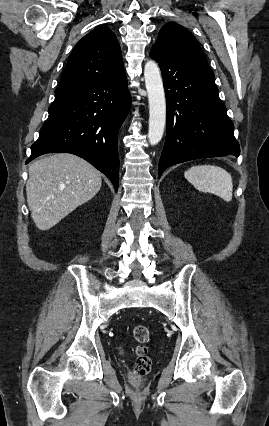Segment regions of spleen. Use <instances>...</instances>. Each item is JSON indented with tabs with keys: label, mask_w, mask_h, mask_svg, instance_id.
<instances>
[{
	"label": "spleen",
	"mask_w": 269,
	"mask_h": 426,
	"mask_svg": "<svg viewBox=\"0 0 269 426\" xmlns=\"http://www.w3.org/2000/svg\"><path fill=\"white\" fill-rule=\"evenodd\" d=\"M184 176L199 191L212 193L226 202L232 200V177L225 169L214 165H198L185 171Z\"/></svg>",
	"instance_id": "spleen-1"
}]
</instances>
